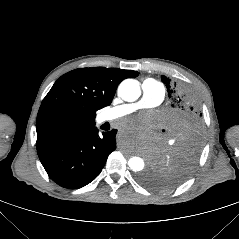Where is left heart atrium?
<instances>
[{"label": "left heart atrium", "mask_w": 239, "mask_h": 239, "mask_svg": "<svg viewBox=\"0 0 239 239\" xmlns=\"http://www.w3.org/2000/svg\"><path fill=\"white\" fill-rule=\"evenodd\" d=\"M121 125L124 128L130 129V128H143L145 126V120L143 117H135V118H130L122 121Z\"/></svg>", "instance_id": "obj_1"}]
</instances>
